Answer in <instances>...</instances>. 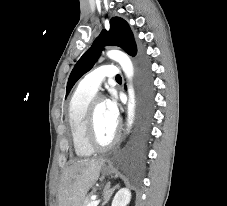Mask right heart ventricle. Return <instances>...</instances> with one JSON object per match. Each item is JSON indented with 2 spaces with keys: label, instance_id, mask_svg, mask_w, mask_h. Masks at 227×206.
Listing matches in <instances>:
<instances>
[{
  "label": "right heart ventricle",
  "instance_id": "1",
  "mask_svg": "<svg viewBox=\"0 0 227 206\" xmlns=\"http://www.w3.org/2000/svg\"><path fill=\"white\" fill-rule=\"evenodd\" d=\"M94 93L77 88L72 94L67 110V122L75 154L85 158L94 152L85 138V120L87 109Z\"/></svg>",
  "mask_w": 227,
  "mask_h": 206
}]
</instances>
